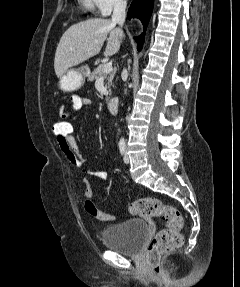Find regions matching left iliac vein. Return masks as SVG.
Here are the masks:
<instances>
[{
    "label": "left iliac vein",
    "mask_w": 240,
    "mask_h": 287,
    "mask_svg": "<svg viewBox=\"0 0 240 287\" xmlns=\"http://www.w3.org/2000/svg\"><path fill=\"white\" fill-rule=\"evenodd\" d=\"M124 162H125L126 164L129 163V157H128V154H127V149H126V153H125V156H124Z\"/></svg>",
    "instance_id": "4c4485c4"
}]
</instances>
